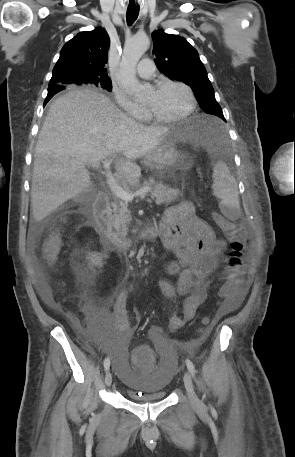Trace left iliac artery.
Wrapping results in <instances>:
<instances>
[{
  "mask_svg": "<svg viewBox=\"0 0 295 457\" xmlns=\"http://www.w3.org/2000/svg\"><path fill=\"white\" fill-rule=\"evenodd\" d=\"M186 366L189 370V372L191 373V375L195 378V367H194V364L189 360V359H186Z\"/></svg>",
  "mask_w": 295,
  "mask_h": 457,
  "instance_id": "obj_1",
  "label": "left iliac artery"
}]
</instances>
